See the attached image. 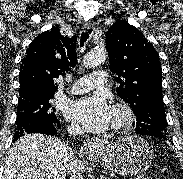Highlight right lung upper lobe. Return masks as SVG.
<instances>
[{
    "mask_svg": "<svg viewBox=\"0 0 183 179\" xmlns=\"http://www.w3.org/2000/svg\"><path fill=\"white\" fill-rule=\"evenodd\" d=\"M76 41V36H62L58 27L37 36L22 59L19 98L54 95L57 90L54 79L77 63Z\"/></svg>",
    "mask_w": 183,
    "mask_h": 179,
    "instance_id": "right-lung-upper-lobe-1",
    "label": "right lung upper lobe"
}]
</instances>
